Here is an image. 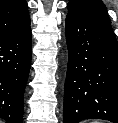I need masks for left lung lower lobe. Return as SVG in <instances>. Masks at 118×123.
Here are the masks:
<instances>
[{"mask_svg":"<svg viewBox=\"0 0 118 123\" xmlns=\"http://www.w3.org/2000/svg\"><path fill=\"white\" fill-rule=\"evenodd\" d=\"M63 123H118V44L109 22L67 15Z\"/></svg>","mask_w":118,"mask_h":123,"instance_id":"0a47b994","label":"left lung lower lobe"}]
</instances>
